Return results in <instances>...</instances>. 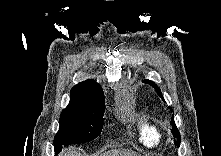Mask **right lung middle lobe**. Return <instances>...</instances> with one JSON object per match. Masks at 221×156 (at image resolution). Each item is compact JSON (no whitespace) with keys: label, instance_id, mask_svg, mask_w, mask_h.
I'll return each instance as SVG.
<instances>
[{"label":"right lung middle lobe","instance_id":"obj_1","mask_svg":"<svg viewBox=\"0 0 221 156\" xmlns=\"http://www.w3.org/2000/svg\"><path fill=\"white\" fill-rule=\"evenodd\" d=\"M105 104L67 106L60 115L59 131L55 135V153L62 146L92 141L102 131Z\"/></svg>","mask_w":221,"mask_h":156}]
</instances>
